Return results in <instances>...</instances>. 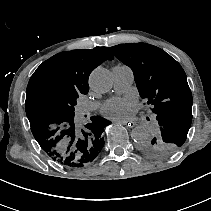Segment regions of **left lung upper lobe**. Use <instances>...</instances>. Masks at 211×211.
Listing matches in <instances>:
<instances>
[{
  "instance_id": "5c2ea615",
  "label": "left lung upper lobe",
  "mask_w": 211,
  "mask_h": 211,
  "mask_svg": "<svg viewBox=\"0 0 211 211\" xmlns=\"http://www.w3.org/2000/svg\"><path fill=\"white\" fill-rule=\"evenodd\" d=\"M108 49L132 69L139 94L151 106L160 129L141 150L153 157L175 153L186 141L192 122L193 100L184 70L169 54L150 44H119Z\"/></svg>"
}]
</instances>
